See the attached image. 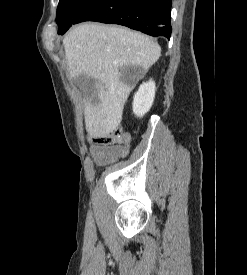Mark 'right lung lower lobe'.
Returning a JSON list of instances; mask_svg holds the SVG:
<instances>
[{"label":"right lung lower lobe","instance_id":"1","mask_svg":"<svg viewBox=\"0 0 247 275\" xmlns=\"http://www.w3.org/2000/svg\"><path fill=\"white\" fill-rule=\"evenodd\" d=\"M171 6L172 0H99L86 9L74 24L83 21L119 24L170 39Z\"/></svg>","mask_w":247,"mask_h":275}]
</instances>
